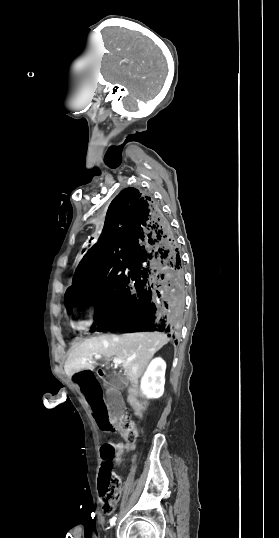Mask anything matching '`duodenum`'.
<instances>
[{"mask_svg": "<svg viewBox=\"0 0 279 538\" xmlns=\"http://www.w3.org/2000/svg\"><path fill=\"white\" fill-rule=\"evenodd\" d=\"M106 376H107V370L103 366L98 367L97 370L95 371V378L97 380L107 381ZM129 405H130V410L131 411H136L137 410V405L136 404H132V402H129Z\"/></svg>", "mask_w": 279, "mask_h": 538, "instance_id": "1", "label": "duodenum"}]
</instances>
